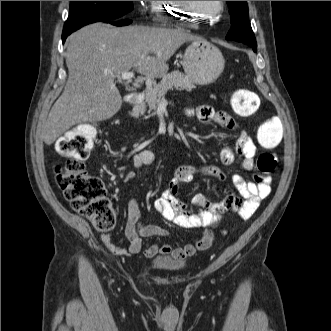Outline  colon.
I'll list each match as a JSON object with an SVG mask.
<instances>
[{"label": "colon", "instance_id": "colon-1", "mask_svg": "<svg viewBox=\"0 0 331 331\" xmlns=\"http://www.w3.org/2000/svg\"><path fill=\"white\" fill-rule=\"evenodd\" d=\"M230 102L236 114L243 117L254 114L260 106L259 97L246 89L234 90ZM282 133V119L272 116L260 125L257 139L262 147L274 148L281 143ZM96 135L93 125L82 124L66 132L57 141L56 151L64 158V162L56 166L55 178L74 211L90 220L95 229L109 231L115 225V211L103 181L88 173L84 165L94 147ZM277 163L276 156L268 151L262 152L256 160L257 169L263 174L273 173ZM211 242L200 239L197 247L206 249Z\"/></svg>", "mask_w": 331, "mask_h": 331}]
</instances>
